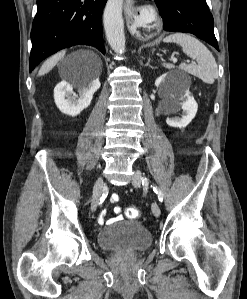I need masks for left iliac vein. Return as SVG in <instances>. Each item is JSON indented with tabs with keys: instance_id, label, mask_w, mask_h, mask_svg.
I'll return each instance as SVG.
<instances>
[{
	"instance_id": "1",
	"label": "left iliac vein",
	"mask_w": 247,
	"mask_h": 299,
	"mask_svg": "<svg viewBox=\"0 0 247 299\" xmlns=\"http://www.w3.org/2000/svg\"><path fill=\"white\" fill-rule=\"evenodd\" d=\"M132 184L135 187H139L142 184V172L140 170H135L133 177H132ZM152 212L155 217H159L161 214V209L160 206L156 203L153 202L151 205Z\"/></svg>"
}]
</instances>
